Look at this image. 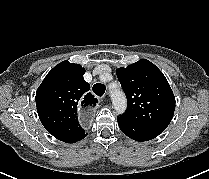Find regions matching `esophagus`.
<instances>
[{
    "instance_id": "1",
    "label": "esophagus",
    "mask_w": 209,
    "mask_h": 179,
    "mask_svg": "<svg viewBox=\"0 0 209 179\" xmlns=\"http://www.w3.org/2000/svg\"><path fill=\"white\" fill-rule=\"evenodd\" d=\"M97 105V99L92 94H85L78 103L79 123L84 128H89L94 123V107Z\"/></svg>"
}]
</instances>
